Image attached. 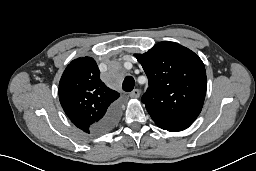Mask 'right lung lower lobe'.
Wrapping results in <instances>:
<instances>
[{"mask_svg": "<svg viewBox=\"0 0 256 171\" xmlns=\"http://www.w3.org/2000/svg\"><path fill=\"white\" fill-rule=\"evenodd\" d=\"M119 113H120V108L118 104L112 106L101 121V124H100L101 129L109 130L113 128L117 123Z\"/></svg>", "mask_w": 256, "mask_h": 171, "instance_id": "98d812e1", "label": "right lung lower lobe"}]
</instances>
